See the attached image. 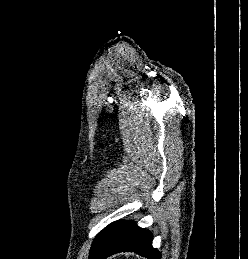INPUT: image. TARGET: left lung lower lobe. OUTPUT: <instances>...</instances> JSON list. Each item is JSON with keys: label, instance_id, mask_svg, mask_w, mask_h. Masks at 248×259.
Returning <instances> with one entry per match:
<instances>
[{"label": "left lung lower lobe", "instance_id": "1", "mask_svg": "<svg viewBox=\"0 0 248 259\" xmlns=\"http://www.w3.org/2000/svg\"><path fill=\"white\" fill-rule=\"evenodd\" d=\"M118 252H135L148 259H161L152 247V235L133 222L116 221L104 228L94 239L89 259H106Z\"/></svg>", "mask_w": 248, "mask_h": 259}]
</instances>
